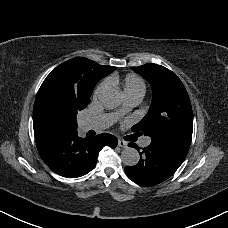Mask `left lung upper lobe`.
<instances>
[{"mask_svg": "<svg viewBox=\"0 0 228 228\" xmlns=\"http://www.w3.org/2000/svg\"><path fill=\"white\" fill-rule=\"evenodd\" d=\"M132 69L150 83L153 98L146 116L131 130L137 137L144 134L190 146L193 114L181 80L169 69L153 63Z\"/></svg>", "mask_w": 228, "mask_h": 228, "instance_id": "1", "label": "left lung upper lobe"}]
</instances>
